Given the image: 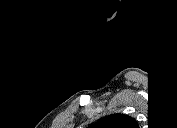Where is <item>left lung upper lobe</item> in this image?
<instances>
[{"mask_svg":"<svg viewBox=\"0 0 177 128\" xmlns=\"http://www.w3.org/2000/svg\"><path fill=\"white\" fill-rule=\"evenodd\" d=\"M97 125L101 128H137L136 121L124 114H112L101 119Z\"/></svg>","mask_w":177,"mask_h":128,"instance_id":"obj_1","label":"left lung upper lobe"}]
</instances>
